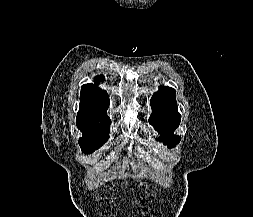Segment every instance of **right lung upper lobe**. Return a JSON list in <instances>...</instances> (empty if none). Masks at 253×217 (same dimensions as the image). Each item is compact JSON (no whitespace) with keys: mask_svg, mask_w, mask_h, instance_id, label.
I'll list each match as a JSON object with an SVG mask.
<instances>
[{"mask_svg":"<svg viewBox=\"0 0 253 217\" xmlns=\"http://www.w3.org/2000/svg\"><path fill=\"white\" fill-rule=\"evenodd\" d=\"M104 77L98 76L95 82L103 81ZM110 105L108 94L94 84H84L81 88L80 109L77 113V121L107 123V109Z\"/></svg>","mask_w":253,"mask_h":217,"instance_id":"cb5924a9","label":"right lung upper lobe"}]
</instances>
